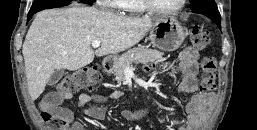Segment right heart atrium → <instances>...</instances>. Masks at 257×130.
I'll list each match as a JSON object with an SVG mask.
<instances>
[{"mask_svg":"<svg viewBox=\"0 0 257 130\" xmlns=\"http://www.w3.org/2000/svg\"><path fill=\"white\" fill-rule=\"evenodd\" d=\"M99 4L104 7L117 8V0H98Z\"/></svg>","mask_w":257,"mask_h":130,"instance_id":"right-heart-atrium-1","label":"right heart atrium"}]
</instances>
